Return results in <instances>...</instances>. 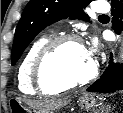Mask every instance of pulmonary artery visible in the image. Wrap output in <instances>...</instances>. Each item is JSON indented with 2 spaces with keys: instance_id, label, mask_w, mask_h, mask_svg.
<instances>
[{
  "instance_id": "1",
  "label": "pulmonary artery",
  "mask_w": 123,
  "mask_h": 113,
  "mask_svg": "<svg viewBox=\"0 0 123 113\" xmlns=\"http://www.w3.org/2000/svg\"><path fill=\"white\" fill-rule=\"evenodd\" d=\"M109 10V5L105 1L96 2L95 11L97 13H106Z\"/></svg>"
}]
</instances>
